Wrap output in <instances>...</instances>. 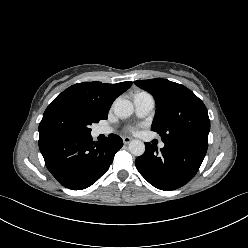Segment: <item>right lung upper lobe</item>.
<instances>
[{
  "label": "right lung upper lobe",
  "mask_w": 248,
  "mask_h": 248,
  "mask_svg": "<svg viewBox=\"0 0 248 248\" xmlns=\"http://www.w3.org/2000/svg\"><path fill=\"white\" fill-rule=\"evenodd\" d=\"M131 85L132 82L117 84H103L96 81L77 83L59 94L51 104H68L89 113L97 120L107 119L112 102Z\"/></svg>",
  "instance_id": "1"
}]
</instances>
